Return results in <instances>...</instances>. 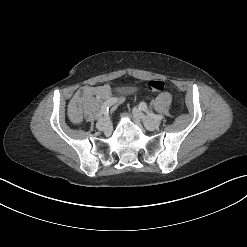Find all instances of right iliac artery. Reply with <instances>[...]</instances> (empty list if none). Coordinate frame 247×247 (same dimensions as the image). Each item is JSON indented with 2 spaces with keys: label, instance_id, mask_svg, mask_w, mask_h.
<instances>
[{
  "label": "right iliac artery",
  "instance_id": "1",
  "mask_svg": "<svg viewBox=\"0 0 247 247\" xmlns=\"http://www.w3.org/2000/svg\"><path fill=\"white\" fill-rule=\"evenodd\" d=\"M119 101L118 98L112 97L106 100L103 105L101 106L100 112L96 115V120H100L103 115L107 114L109 112V109L112 105L116 104Z\"/></svg>",
  "mask_w": 247,
  "mask_h": 247
}]
</instances>
